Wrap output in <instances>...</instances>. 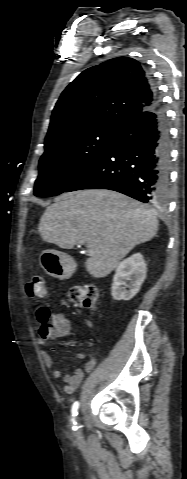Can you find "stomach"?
Segmentation results:
<instances>
[{"instance_id": "0dacf381", "label": "stomach", "mask_w": 187, "mask_h": 479, "mask_svg": "<svg viewBox=\"0 0 187 479\" xmlns=\"http://www.w3.org/2000/svg\"><path fill=\"white\" fill-rule=\"evenodd\" d=\"M39 263L47 274L58 279H67L73 273V261L62 252L45 250L39 257Z\"/></svg>"}]
</instances>
